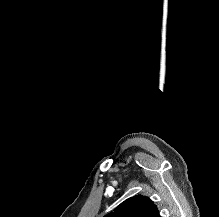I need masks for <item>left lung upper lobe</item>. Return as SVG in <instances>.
I'll list each match as a JSON object with an SVG mask.
<instances>
[{
	"mask_svg": "<svg viewBox=\"0 0 219 217\" xmlns=\"http://www.w3.org/2000/svg\"><path fill=\"white\" fill-rule=\"evenodd\" d=\"M105 217H161L157 206L145 196L131 197Z\"/></svg>",
	"mask_w": 219,
	"mask_h": 217,
	"instance_id": "1",
	"label": "left lung upper lobe"
}]
</instances>
